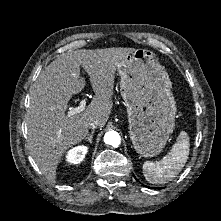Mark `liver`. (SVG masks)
I'll list each match as a JSON object with an SVG mask.
<instances>
[{"label":"liver","instance_id":"liver-1","mask_svg":"<svg viewBox=\"0 0 221 221\" xmlns=\"http://www.w3.org/2000/svg\"><path fill=\"white\" fill-rule=\"evenodd\" d=\"M134 48L81 49L59 55L41 72L30 91L26 114L27 143L42 174L56 181V170L64 153L87 137L90 122L99 127L112 111L116 70ZM80 66L90 76L93 100L83 112L68 116L65 110L72 95L82 91Z\"/></svg>","mask_w":221,"mask_h":221}]
</instances>
